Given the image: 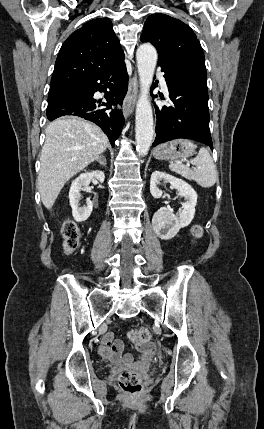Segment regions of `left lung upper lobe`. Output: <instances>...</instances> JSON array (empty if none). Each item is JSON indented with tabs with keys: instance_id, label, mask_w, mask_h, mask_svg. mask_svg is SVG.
I'll return each instance as SVG.
<instances>
[{
	"instance_id": "5c2ea615",
	"label": "left lung upper lobe",
	"mask_w": 264,
	"mask_h": 429,
	"mask_svg": "<svg viewBox=\"0 0 264 429\" xmlns=\"http://www.w3.org/2000/svg\"><path fill=\"white\" fill-rule=\"evenodd\" d=\"M140 39L156 47L158 61L168 62L207 87L202 47L194 32L185 23L165 14L150 15Z\"/></svg>"
}]
</instances>
